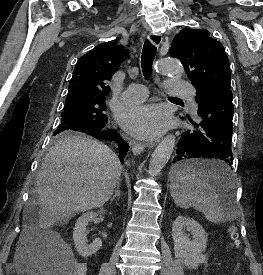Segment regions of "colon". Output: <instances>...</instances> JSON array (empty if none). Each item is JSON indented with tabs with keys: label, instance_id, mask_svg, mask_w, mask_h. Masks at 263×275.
I'll list each match as a JSON object with an SVG mask.
<instances>
[{
	"label": "colon",
	"instance_id": "1",
	"mask_svg": "<svg viewBox=\"0 0 263 275\" xmlns=\"http://www.w3.org/2000/svg\"><path fill=\"white\" fill-rule=\"evenodd\" d=\"M230 238L234 245L238 243L237 233L234 229L230 230ZM49 253L52 256L51 271L53 275H84V266L69 258L59 247H50Z\"/></svg>",
	"mask_w": 263,
	"mask_h": 275
}]
</instances>
